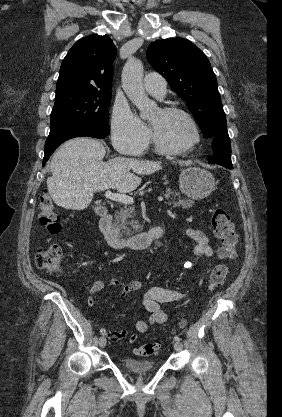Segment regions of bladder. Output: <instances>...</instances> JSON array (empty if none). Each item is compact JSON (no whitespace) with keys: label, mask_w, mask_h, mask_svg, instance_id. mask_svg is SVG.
Masks as SVG:
<instances>
[{"label":"bladder","mask_w":282,"mask_h":417,"mask_svg":"<svg viewBox=\"0 0 282 417\" xmlns=\"http://www.w3.org/2000/svg\"><path fill=\"white\" fill-rule=\"evenodd\" d=\"M123 367L130 373L144 375L155 368V362L150 360H140L134 357H125Z\"/></svg>","instance_id":"31cf9c89"}]
</instances>
